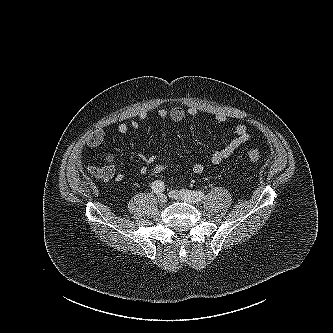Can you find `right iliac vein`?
Instances as JSON below:
<instances>
[{"instance_id":"obj_1","label":"right iliac vein","mask_w":333,"mask_h":333,"mask_svg":"<svg viewBox=\"0 0 333 333\" xmlns=\"http://www.w3.org/2000/svg\"><path fill=\"white\" fill-rule=\"evenodd\" d=\"M158 200L161 204H165L167 202V197L164 194H159L158 195Z\"/></svg>"}]
</instances>
